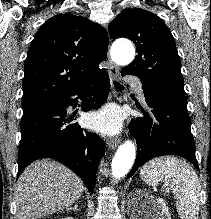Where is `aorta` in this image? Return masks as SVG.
<instances>
[{"label": "aorta", "instance_id": "aorta-1", "mask_svg": "<svg viewBox=\"0 0 211 219\" xmlns=\"http://www.w3.org/2000/svg\"><path fill=\"white\" fill-rule=\"evenodd\" d=\"M135 56V49L131 42L124 41L114 44L111 58L118 65L130 64ZM136 156V147L132 141H125L119 146L112 160V175L116 179L125 176L131 169Z\"/></svg>", "mask_w": 211, "mask_h": 219}]
</instances>
